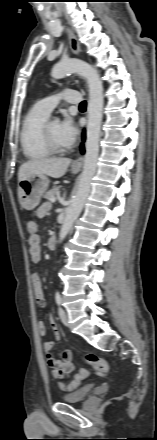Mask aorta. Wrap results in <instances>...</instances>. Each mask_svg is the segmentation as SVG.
Segmentation results:
<instances>
[{
	"mask_svg": "<svg viewBox=\"0 0 157 440\" xmlns=\"http://www.w3.org/2000/svg\"><path fill=\"white\" fill-rule=\"evenodd\" d=\"M68 73H77L87 81L89 88L88 122L83 171L72 204L66 211L59 233V242H62L71 230L89 195L97 166L103 111V86L96 69L82 60L72 59L55 65L52 68L51 76L55 79H61Z\"/></svg>",
	"mask_w": 157,
	"mask_h": 440,
	"instance_id": "obj_1",
	"label": "aorta"
}]
</instances>
